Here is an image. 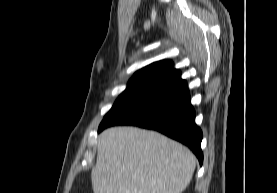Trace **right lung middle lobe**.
<instances>
[{"label": "right lung middle lobe", "instance_id": "right-lung-middle-lobe-1", "mask_svg": "<svg viewBox=\"0 0 277 193\" xmlns=\"http://www.w3.org/2000/svg\"><path fill=\"white\" fill-rule=\"evenodd\" d=\"M146 93L143 92H135V91H124L116 100L113 107L110 111L104 116L103 121L100 125L109 121L114 115L124 110L125 108L131 106L132 104L139 101L141 98L146 96Z\"/></svg>", "mask_w": 277, "mask_h": 193}]
</instances>
